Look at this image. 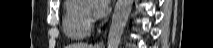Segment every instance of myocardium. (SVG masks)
I'll list each match as a JSON object with an SVG mask.
<instances>
[{
	"label": "myocardium",
	"instance_id": "1",
	"mask_svg": "<svg viewBox=\"0 0 213 48\" xmlns=\"http://www.w3.org/2000/svg\"><path fill=\"white\" fill-rule=\"evenodd\" d=\"M82 12H83L84 16L86 17L87 21L89 22L90 12L85 11L83 7H82Z\"/></svg>",
	"mask_w": 213,
	"mask_h": 48
}]
</instances>
